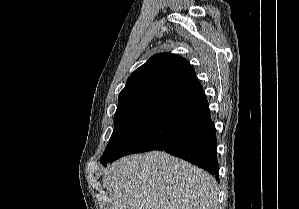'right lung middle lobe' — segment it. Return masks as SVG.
Listing matches in <instances>:
<instances>
[{"label":"right lung middle lobe","instance_id":"dd1d6c3e","mask_svg":"<svg viewBox=\"0 0 299 209\" xmlns=\"http://www.w3.org/2000/svg\"><path fill=\"white\" fill-rule=\"evenodd\" d=\"M160 103L141 102L117 107L114 116V131L100 159L106 163L114 158L137 134Z\"/></svg>","mask_w":299,"mask_h":209}]
</instances>
